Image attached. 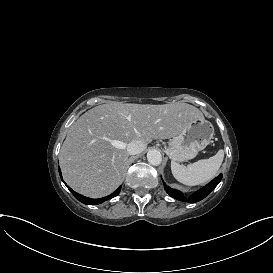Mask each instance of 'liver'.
<instances>
[{
	"label": "liver",
	"instance_id": "6515ba94",
	"mask_svg": "<svg viewBox=\"0 0 273 273\" xmlns=\"http://www.w3.org/2000/svg\"><path fill=\"white\" fill-rule=\"evenodd\" d=\"M202 118L198 108L180 102L96 106L68 130L59 154L64 179L88 197L110 194L123 181L128 143L141 140L147 146L152 139L172 138L191 121Z\"/></svg>",
	"mask_w": 273,
	"mask_h": 273
}]
</instances>
